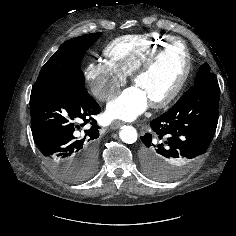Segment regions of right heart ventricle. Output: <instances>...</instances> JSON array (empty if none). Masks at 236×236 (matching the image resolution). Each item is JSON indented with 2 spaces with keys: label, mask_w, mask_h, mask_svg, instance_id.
Listing matches in <instances>:
<instances>
[{
  "label": "right heart ventricle",
  "mask_w": 236,
  "mask_h": 236,
  "mask_svg": "<svg viewBox=\"0 0 236 236\" xmlns=\"http://www.w3.org/2000/svg\"><path fill=\"white\" fill-rule=\"evenodd\" d=\"M173 39L172 35L162 33L127 35L110 42L104 54L107 61L126 76L156 48Z\"/></svg>",
  "instance_id": "e07e8e85"
}]
</instances>
